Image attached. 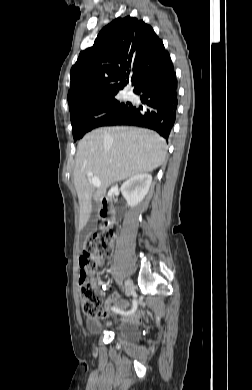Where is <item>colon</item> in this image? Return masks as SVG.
Here are the masks:
<instances>
[{
	"mask_svg": "<svg viewBox=\"0 0 252 390\" xmlns=\"http://www.w3.org/2000/svg\"><path fill=\"white\" fill-rule=\"evenodd\" d=\"M113 236L109 232L89 237L82 249L80 264L82 270L79 277L83 311L86 315L100 318L104 315L100 293L95 283L98 259L112 254Z\"/></svg>",
	"mask_w": 252,
	"mask_h": 390,
	"instance_id": "colon-1",
	"label": "colon"
}]
</instances>
